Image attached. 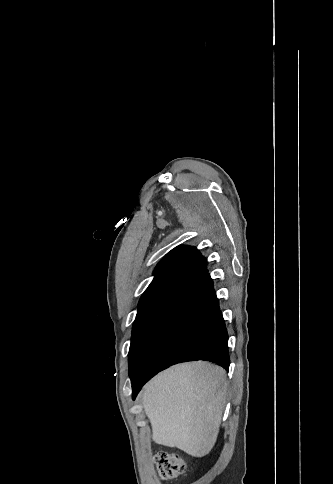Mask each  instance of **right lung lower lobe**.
<instances>
[{
  "label": "right lung lower lobe",
  "mask_w": 333,
  "mask_h": 484,
  "mask_svg": "<svg viewBox=\"0 0 333 484\" xmlns=\"http://www.w3.org/2000/svg\"><path fill=\"white\" fill-rule=\"evenodd\" d=\"M208 273L161 300L148 322L131 376L132 397L170 365L207 360L227 371L228 334Z\"/></svg>",
  "instance_id": "98d812e1"
}]
</instances>
